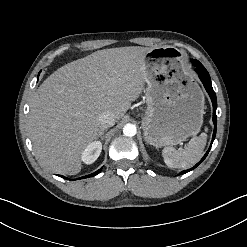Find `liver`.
Returning a JSON list of instances; mask_svg holds the SVG:
<instances>
[{"mask_svg": "<svg viewBox=\"0 0 247 247\" xmlns=\"http://www.w3.org/2000/svg\"><path fill=\"white\" fill-rule=\"evenodd\" d=\"M149 50H99L62 66L39 86L29 130L42 165L57 174L80 172L82 152L99 135V115L111 112L120 120L142 93Z\"/></svg>", "mask_w": 247, "mask_h": 247, "instance_id": "1", "label": "liver"}]
</instances>
